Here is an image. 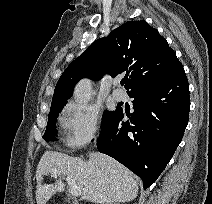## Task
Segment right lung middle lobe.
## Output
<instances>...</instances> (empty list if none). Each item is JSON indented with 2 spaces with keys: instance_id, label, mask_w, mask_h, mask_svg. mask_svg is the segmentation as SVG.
<instances>
[{
  "instance_id": "obj_1",
  "label": "right lung middle lobe",
  "mask_w": 212,
  "mask_h": 204,
  "mask_svg": "<svg viewBox=\"0 0 212 204\" xmlns=\"http://www.w3.org/2000/svg\"><path fill=\"white\" fill-rule=\"evenodd\" d=\"M64 105H59V106H54L51 107L50 113L48 116V123H47V128L46 132L43 136L45 141H55V135L57 134V130L55 127V121L56 118L58 117L59 112L62 110ZM119 109H116V111H105L104 117L102 119V128L108 123V121L114 116V114L118 111Z\"/></svg>"
}]
</instances>
